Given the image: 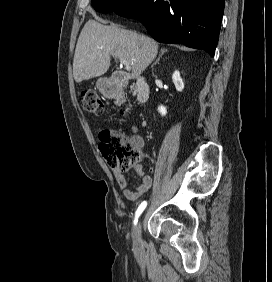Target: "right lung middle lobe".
Masks as SVG:
<instances>
[{"label": "right lung middle lobe", "mask_w": 272, "mask_h": 282, "mask_svg": "<svg viewBox=\"0 0 272 282\" xmlns=\"http://www.w3.org/2000/svg\"><path fill=\"white\" fill-rule=\"evenodd\" d=\"M139 1L140 0H92V6L98 12H118Z\"/></svg>", "instance_id": "obj_1"}]
</instances>
